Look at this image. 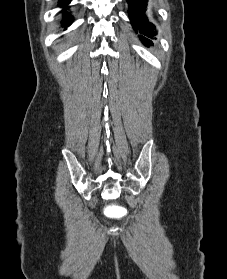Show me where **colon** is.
Instances as JSON below:
<instances>
[{
    "mask_svg": "<svg viewBox=\"0 0 227 279\" xmlns=\"http://www.w3.org/2000/svg\"><path fill=\"white\" fill-rule=\"evenodd\" d=\"M127 216V210L125 208H121L119 213L116 214V218L124 219Z\"/></svg>",
    "mask_w": 227,
    "mask_h": 279,
    "instance_id": "1",
    "label": "colon"
}]
</instances>
